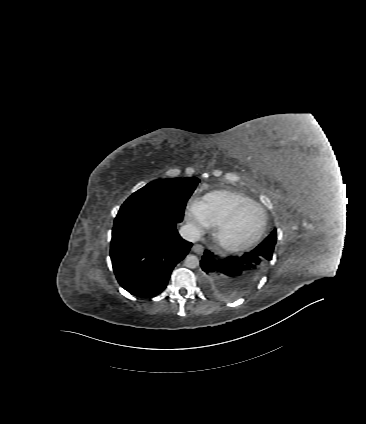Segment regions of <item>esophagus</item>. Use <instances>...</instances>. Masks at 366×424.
Listing matches in <instances>:
<instances>
[{"instance_id": "esophagus-1", "label": "esophagus", "mask_w": 366, "mask_h": 424, "mask_svg": "<svg viewBox=\"0 0 366 424\" xmlns=\"http://www.w3.org/2000/svg\"><path fill=\"white\" fill-rule=\"evenodd\" d=\"M192 250H193V252H195V253H197V254H200V253H202V252H203L204 248H203V246H202V245H200V244H195V245L192 247Z\"/></svg>"}]
</instances>
